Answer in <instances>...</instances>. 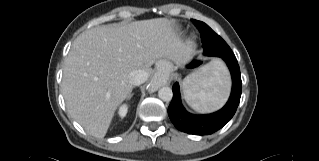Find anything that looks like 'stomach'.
<instances>
[{
    "mask_svg": "<svg viewBox=\"0 0 319 161\" xmlns=\"http://www.w3.org/2000/svg\"><path fill=\"white\" fill-rule=\"evenodd\" d=\"M175 70L173 63L168 58L160 59L157 62V71L163 78H168L170 74Z\"/></svg>",
    "mask_w": 319,
    "mask_h": 161,
    "instance_id": "obj_1",
    "label": "stomach"
}]
</instances>
